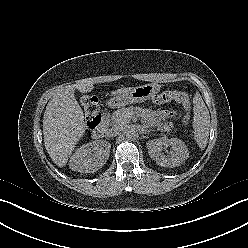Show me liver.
I'll return each mask as SVG.
<instances>
[{"label": "liver", "mask_w": 248, "mask_h": 248, "mask_svg": "<svg viewBox=\"0 0 248 248\" xmlns=\"http://www.w3.org/2000/svg\"><path fill=\"white\" fill-rule=\"evenodd\" d=\"M82 93L93 90V85L79 82L59 90L48 102L43 117V135L45 148L58 167L66 165L77 142L86 129L83 111L74 96V90ZM132 89L121 88L113 95Z\"/></svg>", "instance_id": "6515ba94"}]
</instances>
